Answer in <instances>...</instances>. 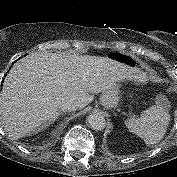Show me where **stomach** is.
Wrapping results in <instances>:
<instances>
[{
    "label": "stomach",
    "mask_w": 177,
    "mask_h": 177,
    "mask_svg": "<svg viewBox=\"0 0 177 177\" xmlns=\"http://www.w3.org/2000/svg\"><path fill=\"white\" fill-rule=\"evenodd\" d=\"M110 57L111 59L113 58L114 60L120 61L130 66L135 65L137 61L133 55L126 53L116 52L111 54ZM120 97V89L119 85L117 84L114 87L102 92L100 102L104 107L112 109L118 106Z\"/></svg>",
    "instance_id": "0dacf381"
}]
</instances>
